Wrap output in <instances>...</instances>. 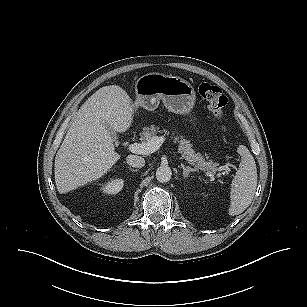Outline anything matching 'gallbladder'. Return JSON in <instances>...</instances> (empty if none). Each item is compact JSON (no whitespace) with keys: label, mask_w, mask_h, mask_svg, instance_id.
<instances>
[{"label":"gallbladder","mask_w":307,"mask_h":307,"mask_svg":"<svg viewBox=\"0 0 307 307\" xmlns=\"http://www.w3.org/2000/svg\"><path fill=\"white\" fill-rule=\"evenodd\" d=\"M110 134H111V137H112V139H113V141H117V137H116V134H115V132L114 131H112V130H110Z\"/></svg>","instance_id":"bac80fb5"}]
</instances>
